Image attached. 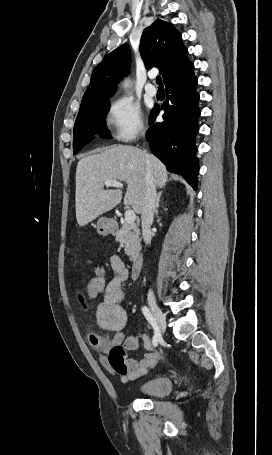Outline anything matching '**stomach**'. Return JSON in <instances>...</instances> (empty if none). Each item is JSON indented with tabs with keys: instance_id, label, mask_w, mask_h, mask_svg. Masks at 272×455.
Listing matches in <instances>:
<instances>
[{
	"instance_id": "1",
	"label": "stomach",
	"mask_w": 272,
	"mask_h": 455,
	"mask_svg": "<svg viewBox=\"0 0 272 455\" xmlns=\"http://www.w3.org/2000/svg\"><path fill=\"white\" fill-rule=\"evenodd\" d=\"M114 229V222L111 219L102 217L97 222V232L102 235L106 236L110 234Z\"/></svg>"
}]
</instances>
